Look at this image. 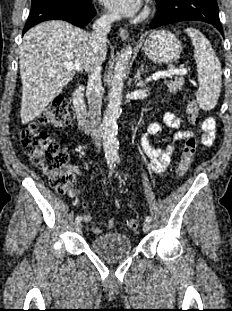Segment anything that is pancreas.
I'll return each mask as SVG.
<instances>
[{
  "label": "pancreas",
  "instance_id": "1",
  "mask_svg": "<svg viewBox=\"0 0 232 311\" xmlns=\"http://www.w3.org/2000/svg\"><path fill=\"white\" fill-rule=\"evenodd\" d=\"M164 83L166 84L168 91L170 93H177L178 91L182 90V87L184 85V80L182 78L175 79V80H166L164 79Z\"/></svg>",
  "mask_w": 232,
  "mask_h": 311
}]
</instances>
